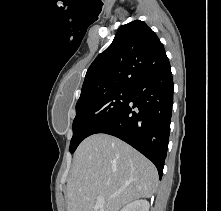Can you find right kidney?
<instances>
[{
    "label": "right kidney",
    "instance_id": "right-kidney-1",
    "mask_svg": "<svg viewBox=\"0 0 221 211\" xmlns=\"http://www.w3.org/2000/svg\"><path fill=\"white\" fill-rule=\"evenodd\" d=\"M121 211H149V203L146 200H135L127 204Z\"/></svg>",
    "mask_w": 221,
    "mask_h": 211
}]
</instances>
